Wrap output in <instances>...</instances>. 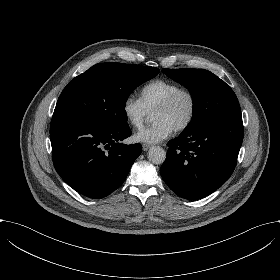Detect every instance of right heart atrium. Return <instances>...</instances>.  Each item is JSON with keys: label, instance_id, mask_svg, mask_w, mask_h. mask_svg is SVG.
Listing matches in <instances>:
<instances>
[{"label": "right heart atrium", "instance_id": "right-heart-atrium-1", "mask_svg": "<svg viewBox=\"0 0 280 280\" xmlns=\"http://www.w3.org/2000/svg\"><path fill=\"white\" fill-rule=\"evenodd\" d=\"M122 113L125 120L135 128H139L148 115V111L142 102L132 97L124 99L122 103Z\"/></svg>", "mask_w": 280, "mask_h": 280}]
</instances>
